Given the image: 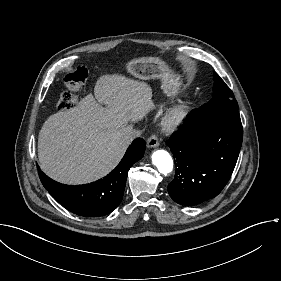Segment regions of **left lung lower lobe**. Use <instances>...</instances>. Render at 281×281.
I'll list each match as a JSON object with an SVG mask.
<instances>
[{
    "instance_id": "1",
    "label": "left lung lower lobe",
    "mask_w": 281,
    "mask_h": 281,
    "mask_svg": "<svg viewBox=\"0 0 281 281\" xmlns=\"http://www.w3.org/2000/svg\"><path fill=\"white\" fill-rule=\"evenodd\" d=\"M242 138L238 110L195 109L167 143L177 165L168 185L170 197L185 206L216 197L234 170Z\"/></svg>"
}]
</instances>
